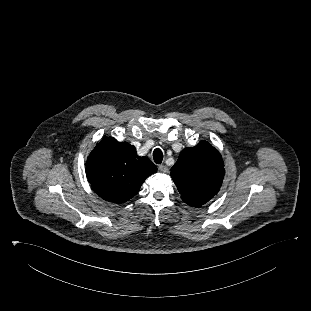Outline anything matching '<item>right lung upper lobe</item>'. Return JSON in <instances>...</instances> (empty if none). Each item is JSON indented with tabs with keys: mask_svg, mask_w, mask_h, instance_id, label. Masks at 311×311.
<instances>
[{
	"mask_svg": "<svg viewBox=\"0 0 311 311\" xmlns=\"http://www.w3.org/2000/svg\"><path fill=\"white\" fill-rule=\"evenodd\" d=\"M157 167L148 157H139L133 145L113 137L102 139L86 162V176L93 191L102 199L125 203L135 196L145 179Z\"/></svg>",
	"mask_w": 311,
	"mask_h": 311,
	"instance_id": "right-lung-upper-lobe-1",
	"label": "right lung upper lobe"
}]
</instances>
